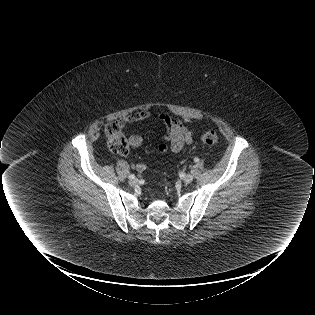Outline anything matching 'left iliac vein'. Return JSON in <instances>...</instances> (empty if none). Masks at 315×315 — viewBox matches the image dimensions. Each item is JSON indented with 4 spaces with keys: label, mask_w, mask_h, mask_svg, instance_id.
Listing matches in <instances>:
<instances>
[{
    "label": "left iliac vein",
    "mask_w": 315,
    "mask_h": 315,
    "mask_svg": "<svg viewBox=\"0 0 315 315\" xmlns=\"http://www.w3.org/2000/svg\"><path fill=\"white\" fill-rule=\"evenodd\" d=\"M193 178L194 177L192 174H185L182 179L185 183H191L193 181Z\"/></svg>",
    "instance_id": "obj_1"
}]
</instances>
